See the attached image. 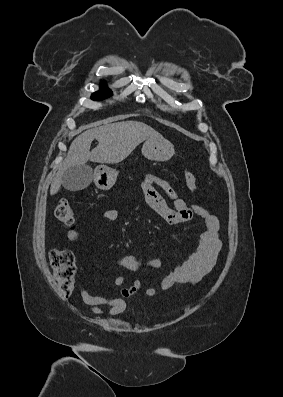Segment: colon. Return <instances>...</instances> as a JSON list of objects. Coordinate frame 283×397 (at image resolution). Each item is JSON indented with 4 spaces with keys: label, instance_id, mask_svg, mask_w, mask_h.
I'll return each instance as SVG.
<instances>
[{
    "label": "colon",
    "instance_id": "colon-1",
    "mask_svg": "<svg viewBox=\"0 0 283 397\" xmlns=\"http://www.w3.org/2000/svg\"><path fill=\"white\" fill-rule=\"evenodd\" d=\"M184 178L187 188L191 192H196L198 185L194 173L186 169ZM54 216L65 225L71 226L75 223L74 209L65 200L57 204ZM49 260L60 292L64 296L70 295L75 287L76 266L73 253L67 249H53L49 253Z\"/></svg>",
    "mask_w": 283,
    "mask_h": 397
}]
</instances>
